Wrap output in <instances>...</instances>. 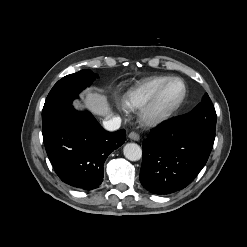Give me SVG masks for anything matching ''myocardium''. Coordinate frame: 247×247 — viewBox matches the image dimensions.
Wrapping results in <instances>:
<instances>
[{
	"label": "myocardium",
	"mask_w": 247,
	"mask_h": 247,
	"mask_svg": "<svg viewBox=\"0 0 247 247\" xmlns=\"http://www.w3.org/2000/svg\"><path fill=\"white\" fill-rule=\"evenodd\" d=\"M173 81H178L182 84V93L173 104L162 108L159 106L161 94L165 87ZM186 95L187 86L184 80L179 77H169L156 89L150 99L141 108L139 115L140 122L146 127H155L164 123L177 112L184 102Z\"/></svg>",
	"instance_id": "1"
}]
</instances>
